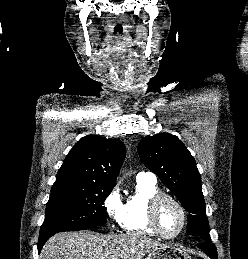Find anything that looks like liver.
<instances>
[{
	"instance_id": "liver-1",
	"label": "liver",
	"mask_w": 248,
	"mask_h": 259,
	"mask_svg": "<svg viewBox=\"0 0 248 259\" xmlns=\"http://www.w3.org/2000/svg\"><path fill=\"white\" fill-rule=\"evenodd\" d=\"M162 246L165 245L136 233L61 232L45 243L40 259H142Z\"/></svg>"
}]
</instances>
